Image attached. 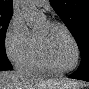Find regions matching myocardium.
<instances>
[{
	"instance_id": "f54148a6",
	"label": "myocardium",
	"mask_w": 89,
	"mask_h": 89,
	"mask_svg": "<svg viewBox=\"0 0 89 89\" xmlns=\"http://www.w3.org/2000/svg\"><path fill=\"white\" fill-rule=\"evenodd\" d=\"M47 23L51 26H57V27L62 28L67 33L69 38L71 39V41L74 45V48H75V61H74V64L71 67L67 68V69H56L51 64V61L49 59V56H48V53L46 51L45 45H44L43 41L41 40L40 36L37 33H34L36 41H37L38 51H39L40 56H41L43 62L45 63V65L53 73H55L56 75H63L65 73L69 72V71L74 70L78 66L79 61H80V49H79L77 40L75 39L73 33L71 32V30L64 23L59 22V21H55V20H47Z\"/></svg>"
}]
</instances>
